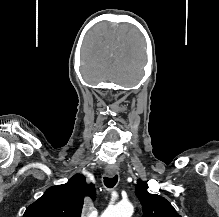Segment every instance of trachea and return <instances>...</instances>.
<instances>
[{"label": "trachea", "instance_id": "1", "mask_svg": "<svg viewBox=\"0 0 219 217\" xmlns=\"http://www.w3.org/2000/svg\"><path fill=\"white\" fill-rule=\"evenodd\" d=\"M117 181H118L117 175L104 178V184L107 188H113L116 185Z\"/></svg>", "mask_w": 219, "mask_h": 217}]
</instances>
